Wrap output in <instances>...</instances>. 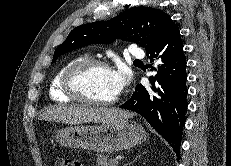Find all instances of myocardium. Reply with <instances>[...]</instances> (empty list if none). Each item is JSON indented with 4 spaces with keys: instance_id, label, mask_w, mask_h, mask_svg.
<instances>
[{
    "instance_id": "f54148a6",
    "label": "myocardium",
    "mask_w": 231,
    "mask_h": 166,
    "mask_svg": "<svg viewBox=\"0 0 231 166\" xmlns=\"http://www.w3.org/2000/svg\"><path fill=\"white\" fill-rule=\"evenodd\" d=\"M93 67H100L107 70H111L110 65L101 59L96 58H86L72 64L64 73L62 78V90L63 92L69 96L71 99L76 101L86 103L89 105L95 106H111L116 104L120 100V96L117 95L113 99L110 100H98L93 99L81 92L79 87L77 86L78 77L87 69Z\"/></svg>"
}]
</instances>
